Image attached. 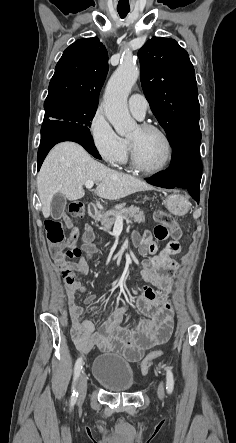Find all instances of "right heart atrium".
Instances as JSON below:
<instances>
[{
	"label": "right heart atrium",
	"instance_id": "obj_1",
	"mask_svg": "<svg viewBox=\"0 0 236 443\" xmlns=\"http://www.w3.org/2000/svg\"><path fill=\"white\" fill-rule=\"evenodd\" d=\"M88 133L93 147L107 164L117 167L125 162L128 144L114 131L101 111L93 114Z\"/></svg>",
	"mask_w": 236,
	"mask_h": 443
}]
</instances>
